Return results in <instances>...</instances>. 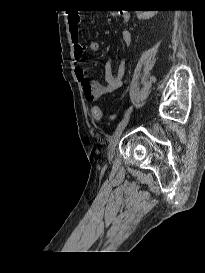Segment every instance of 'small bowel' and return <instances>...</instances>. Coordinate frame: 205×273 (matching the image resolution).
<instances>
[{
	"instance_id": "c3829d8e",
	"label": "small bowel",
	"mask_w": 205,
	"mask_h": 273,
	"mask_svg": "<svg viewBox=\"0 0 205 273\" xmlns=\"http://www.w3.org/2000/svg\"><path fill=\"white\" fill-rule=\"evenodd\" d=\"M123 19H127L129 17L128 13L124 12L121 14ZM68 24L70 26V34L73 44V59L79 64L83 58L85 46L82 44L79 38V25H80V16L78 14H70L68 16ZM121 41L125 45H129L131 43V33L128 30H124L121 33ZM89 50L92 52H98L100 49V45L97 41H90L88 44ZM104 79L106 84L103 85L98 81L91 80L84 70V68L80 65H77L75 68V75L78 81L81 83L84 96L87 101H96L101 96L111 93L118 89L122 84V78L125 72V66L123 63L119 64L116 71L113 72L111 63L106 61L103 67Z\"/></svg>"
}]
</instances>
